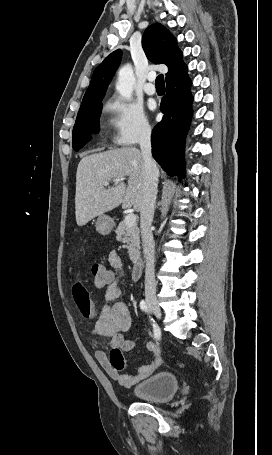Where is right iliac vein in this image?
Masks as SVG:
<instances>
[{
	"instance_id": "1",
	"label": "right iliac vein",
	"mask_w": 272,
	"mask_h": 455,
	"mask_svg": "<svg viewBox=\"0 0 272 455\" xmlns=\"http://www.w3.org/2000/svg\"><path fill=\"white\" fill-rule=\"evenodd\" d=\"M147 304H148L149 309L154 313V315L158 319H160L162 314H161L160 307L157 304V301L155 299H153V298H148L147 299Z\"/></svg>"
}]
</instances>
